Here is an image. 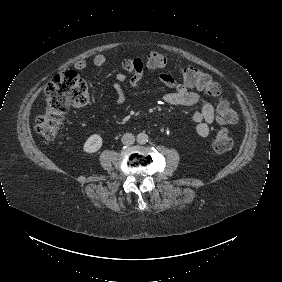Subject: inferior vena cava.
I'll return each mask as SVG.
<instances>
[{
    "label": "inferior vena cava",
    "instance_id": "inferior-vena-cava-1",
    "mask_svg": "<svg viewBox=\"0 0 282 282\" xmlns=\"http://www.w3.org/2000/svg\"><path fill=\"white\" fill-rule=\"evenodd\" d=\"M121 141L124 145H132L135 142V137L132 133H125L122 138Z\"/></svg>",
    "mask_w": 282,
    "mask_h": 282
}]
</instances>
